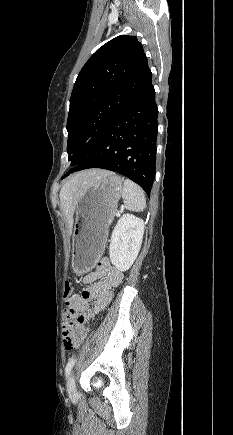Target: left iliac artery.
I'll list each match as a JSON object with an SVG mask.
<instances>
[{"label": "left iliac artery", "instance_id": "obj_1", "mask_svg": "<svg viewBox=\"0 0 233 435\" xmlns=\"http://www.w3.org/2000/svg\"><path fill=\"white\" fill-rule=\"evenodd\" d=\"M75 361H76V359H74V358H71V359L68 361V363H67V365H66V368H65V375H66V377H68V375H69L71 369L73 368V365H74Z\"/></svg>", "mask_w": 233, "mask_h": 435}]
</instances>
